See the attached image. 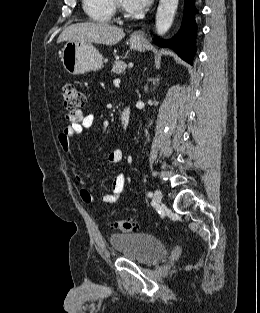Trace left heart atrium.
Returning <instances> with one entry per match:
<instances>
[{"instance_id":"left-heart-atrium-1","label":"left heart atrium","mask_w":260,"mask_h":313,"mask_svg":"<svg viewBox=\"0 0 260 313\" xmlns=\"http://www.w3.org/2000/svg\"><path fill=\"white\" fill-rule=\"evenodd\" d=\"M152 0H122V4L129 10L136 13L144 11Z\"/></svg>"}]
</instances>
